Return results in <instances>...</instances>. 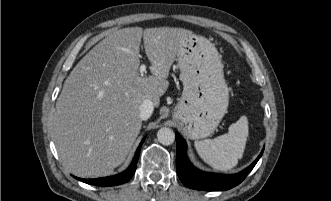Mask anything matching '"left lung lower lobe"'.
Masks as SVG:
<instances>
[{"mask_svg":"<svg viewBox=\"0 0 331 201\" xmlns=\"http://www.w3.org/2000/svg\"><path fill=\"white\" fill-rule=\"evenodd\" d=\"M264 150V149H263ZM263 150L257 159L243 171L234 175H221L202 172L192 166L186 156V144L179 134H176V170L181 182L188 188L203 191H221L231 189L240 184L251 172Z\"/></svg>","mask_w":331,"mask_h":201,"instance_id":"1","label":"left lung lower lobe"}]
</instances>
